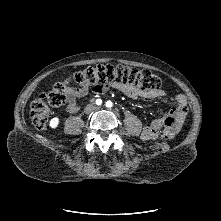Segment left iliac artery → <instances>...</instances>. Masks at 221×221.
<instances>
[{
    "mask_svg": "<svg viewBox=\"0 0 221 221\" xmlns=\"http://www.w3.org/2000/svg\"><path fill=\"white\" fill-rule=\"evenodd\" d=\"M112 105H113V103H112L111 101H107V102H106V106H107V107L110 108V107H112Z\"/></svg>",
    "mask_w": 221,
    "mask_h": 221,
    "instance_id": "obj_1",
    "label": "left iliac artery"
}]
</instances>
